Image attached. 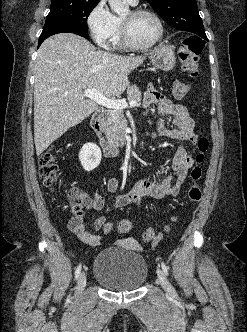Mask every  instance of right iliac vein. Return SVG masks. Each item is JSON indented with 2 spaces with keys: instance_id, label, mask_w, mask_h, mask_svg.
<instances>
[{
  "instance_id": "right-iliac-vein-1",
  "label": "right iliac vein",
  "mask_w": 247,
  "mask_h": 332,
  "mask_svg": "<svg viewBox=\"0 0 247 332\" xmlns=\"http://www.w3.org/2000/svg\"><path fill=\"white\" fill-rule=\"evenodd\" d=\"M86 280H87L86 273L82 272L79 279H78V283H77V287H76V290H77L78 293L83 291V289L85 288Z\"/></svg>"
}]
</instances>
